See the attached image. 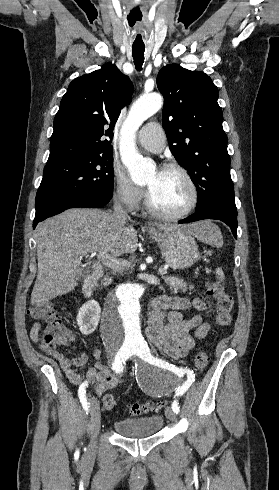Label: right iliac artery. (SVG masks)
Segmentation results:
<instances>
[{"label": "right iliac artery", "mask_w": 279, "mask_h": 490, "mask_svg": "<svg viewBox=\"0 0 279 490\" xmlns=\"http://www.w3.org/2000/svg\"><path fill=\"white\" fill-rule=\"evenodd\" d=\"M129 358V355L127 352H112L111 354V363H112V367L114 370H116V372H120L123 370V365L125 363V361H127ZM87 386V383L86 382H83L82 383V386H80L79 388V392H78V396H79V399H80V402L82 403V406L83 408L86 410V412L89 411V403L87 402V399H86V387Z\"/></svg>", "instance_id": "right-iliac-artery-1"}]
</instances>
